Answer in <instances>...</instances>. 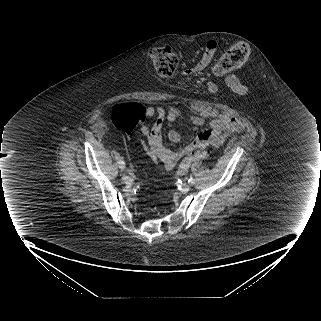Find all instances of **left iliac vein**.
<instances>
[{"label": "left iliac vein", "instance_id": "1", "mask_svg": "<svg viewBox=\"0 0 321 321\" xmlns=\"http://www.w3.org/2000/svg\"><path fill=\"white\" fill-rule=\"evenodd\" d=\"M190 190V185L188 183H184L182 186H181V193H187L188 191Z\"/></svg>", "mask_w": 321, "mask_h": 321}]
</instances>
